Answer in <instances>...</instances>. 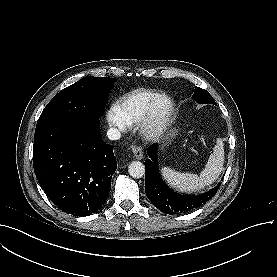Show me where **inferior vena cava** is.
I'll return each instance as SVG.
<instances>
[{
	"mask_svg": "<svg viewBox=\"0 0 277 277\" xmlns=\"http://www.w3.org/2000/svg\"><path fill=\"white\" fill-rule=\"evenodd\" d=\"M107 136L110 140H118L121 137L120 131L116 128H110L107 131Z\"/></svg>",
	"mask_w": 277,
	"mask_h": 277,
	"instance_id": "obj_1",
	"label": "inferior vena cava"
}]
</instances>
